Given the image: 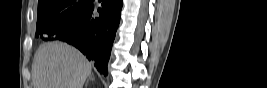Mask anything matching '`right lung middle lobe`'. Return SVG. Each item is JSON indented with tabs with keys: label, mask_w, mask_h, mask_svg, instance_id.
<instances>
[{
	"label": "right lung middle lobe",
	"mask_w": 267,
	"mask_h": 88,
	"mask_svg": "<svg viewBox=\"0 0 267 88\" xmlns=\"http://www.w3.org/2000/svg\"><path fill=\"white\" fill-rule=\"evenodd\" d=\"M90 4V0H39L35 36L50 40L58 29L76 21Z\"/></svg>",
	"instance_id": "right-lung-middle-lobe-1"
}]
</instances>
